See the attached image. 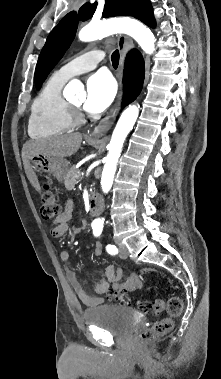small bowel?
<instances>
[{
    "label": "small bowel",
    "instance_id": "small-bowel-1",
    "mask_svg": "<svg viewBox=\"0 0 221 379\" xmlns=\"http://www.w3.org/2000/svg\"><path fill=\"white\" fill-rule=\"evenodd\" d=\"M73 219L72 213V203L68 201L61 213L55 219L53 223V227L51 229V235L54 238L62 237L69 229V223ZM101 246L99 244L96 245L95 253L99 255L101 253ZM60 259L62 263L67 266L70 261V253L66 250L60 253ZM66 277L77 294L78 298L81 302L87 306L99 305L103 302L102 298L99 295L111 292H121L125 294L129 291H134L139 289L142 286V281L140 277L135 273H130L124 279L123 272L120 268H115L113 265H107L104 268V272L102 277H100L93 286L94 295H89L81 283L79 282L77 275L74 270L70 268H66Z\"/></svg>",
    "mask_w": 221,
    "mask_h": 379
}]
</instances>
